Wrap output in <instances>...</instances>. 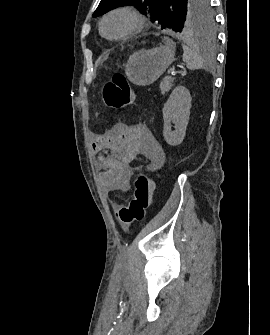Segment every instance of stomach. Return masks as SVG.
<instances>
[{"mask_svg": "<svg viewBox=\"0 0 270 335\" xmlns=\"http://www.w3.org/2000/svg\"><path fill=\"white\" fill-rule=\"evenodd\" d=\"M176 44L168 40L164 46L152 50H138L129 56L125 64V74L136 86H149L156 82L166 68L174 62Z\"/></svg>", "mask_w": 270, "mask_h": 335, "instance_id": "obj_1", "label": "stomach"}]
</instances>
